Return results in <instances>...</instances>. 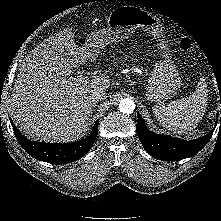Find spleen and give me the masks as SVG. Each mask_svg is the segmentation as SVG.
Masks as SVG:
<instances>
[{
  "mask_svg": "<svg viewBox=\"0 0 221 221\" xmlns=\"http://www.w3.org/2000/svg\"><path fill=\"white\" fill-rule=\"evenodd\" d=\"M208 90L201 78L191 96L173 101L166 107L154 106L153 113L167 130L183 134L193 130L201 121L207 105Z\"/></svg>",
  "mask_w": 221,
  "mask_h": 221,
  "instance_id": "spleen-1",
  "label": "spleen"
}]
</instances>
